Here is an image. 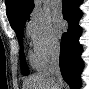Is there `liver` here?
<instances>
[{"label": "liver", "instance_id": "1", "mask_svg": "<svg viewBox=\"0 0 89 89\" xmlns=\"http://www.w3.org/2000/svg\"><path fill=\"white\" fill-rule=\"evenodd\" d=\"M61 78H57L48 72L31 75L24 84V89H59ZM61 89V88H60Z\"/></svg>", "mask_w": 89, "mask_h": 89}]
</instances>
